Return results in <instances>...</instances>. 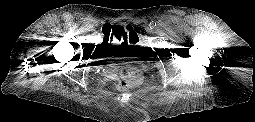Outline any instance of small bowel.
Listing matches in <instances>:
<instances>
[{"mask_svg":"<svg viewBox=\"0 0 255 122\" xmlns=\"http://www.w3.org/2000/svg\"><path fill=\"white\" fill-rule=\"evenodd\" d=\"M108 25H110V24H105V25L103 26V28H104L105 26H108ZM127 26H131V25H127ZM103 28H102V31H103ZM103 36H104V38H105V39H104V42L101 44V47H102L103 49H109L110 47H112V46H114V45H116V44H122V43L133 42V41L121 42L120 39H119L118 37L113 36V35H111V36L106 35L104 32H103Z\"/></svg>","mask_w":255,"mask_h":122,"instance_id":"obj_1","label":"small bowel"}]
</instances>
